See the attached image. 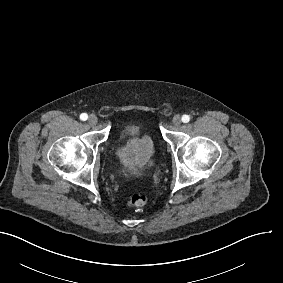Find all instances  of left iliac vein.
I'll return each instance as SVG.
<instances>
[{"mask_svg": "<svg viewBox=\"0 0 283 283\" xmlns=\"http://www.w3.org/2000/svg\"><path fill=\"white\" fill-rule=\"evenodd\" d=\"M172 122L175 126H180L181 124V117L179 115H176L173 117Z\"/></svg>", "mask_w": 283, "mask_h": 283, "instance_id": "obj_1", "label": "left iliac vein"}]
</instances>
